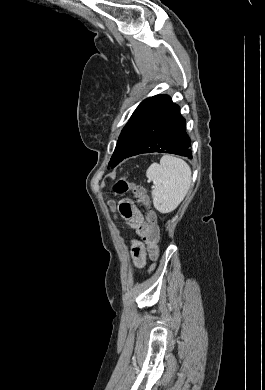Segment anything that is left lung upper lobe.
Returning a JSON list of instances; mask_svg holds the SVG:
<instances>
[{"label":"left lung upper lobe","instance_id":"5c2ea615","mask_svg":"<svg viewBox=\"0 0 265 390\" xmlns=\"http://www.w3.org/2000/svg\"><path fill=\"white\" fill-rule=\"evenodd\" d=\"M152 99V97L150 98H147L145 100H143L140 105L136 108V110L133 112L130 120L128 121V123L125 125V127L123 128L120 136H119V139L117 141V145H116V148H115V151L110 159V162H109V166L110 167H115L116 166V162L119 158V155L121 154V152L123 151V149L125 148L131 134H132V131H133V128H134V125H135V122L138 118V115L139 113L141 112L142 108Z\"/></svg>","mask_w":265,"mask_h":390}]
</instances>
